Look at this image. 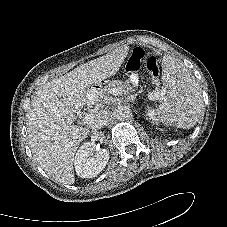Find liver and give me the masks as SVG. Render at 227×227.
Segmentation results:
<instances>
[{"label": "liver", "instance_id": "liver-1", "mask_svg": "<svg viewBox=\"0 0 227 227\" xmlns=\"http://www.w3.org/2000/svg\"><path fill=\"white\" fill-rule=\"evenodd\" d=\"M124 46L81 64L47 82L31 98L27 119L29 145L39 166L56 181L75 182L74 156L89 127L74 125L85 105L89 87L115 75L128 55Z\"/></svg>", "mask_w": 227, "mask_h": 227}]
</instances>
